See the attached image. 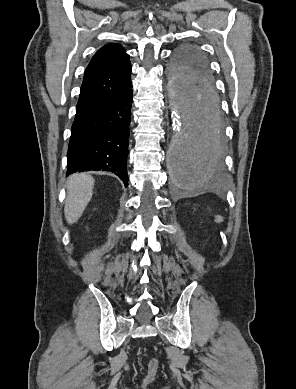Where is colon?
Returning a JSON list of instances; mask_svg holds the SVG:
<instances>
[{"label":"colon","mask_w":296,"mask_h":389,"mask_svg":"<svg viewBox=\"0 0 296 389\" xmlns=\"http://www.w3.org/2000/svg\"><path fill=\"white\" fill-rule=\"evenodd\" d=\"M158 370V361L155 358H151L148 363V380H151Z\"/></svg>","instance_id":"5ec220e1"}]
</instances>
